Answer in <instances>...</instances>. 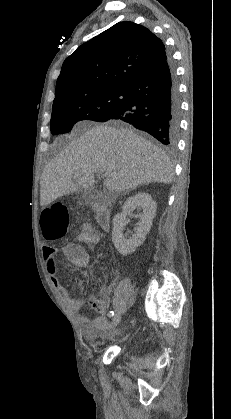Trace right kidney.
<instances>
[{"instance_id":"right-kidney-1","label":"right kidney","mask_w":231,"mask_h":419,"mask_svg":"<svg viewBox=\"0 0 231 419\" xmlns=\"http://www.w3.org/2000/svg\"><path fill=\"white\" fill-rule=\"evenodd\" d=\"M135 209L142 210V213L139 215V226L132 237L126 239L123 236L126 217L132 214ZM155 215L156 202L148 193L138 192L126 200L122 213L115 215L113 218L112 242L120 254H131L143 244L146 234L151 229Z\"/></svg>"}]
</instances>
